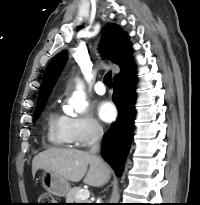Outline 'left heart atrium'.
Wrapping results in <instances>:
<instances>
[{"instance_id":"39dd6f15","label":"left heart atrium","mask_w":200,"mask_h":205,"mask_svg":"<svg viewBox=\"0 0 200 205\" xmlns=\"http://www.w3.org/2000/svg\"><path fill=\"white\" fill-rule=\"evenodd\" d=\"M99 117L105 122H112L117 116V110L110 101H103L98 107Z\"/></svg>"}]
</instances>
